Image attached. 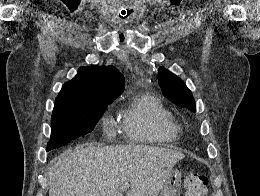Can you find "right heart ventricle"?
Returning <instances> with one entry per match:
<instances>
[{
    "label": "right heart ventricle",
    "instance_id": "1",
    "mask_svg": "<svg viewBox=\"0 0 260 196\" xmlns=\"http://www.w3.org/2000/svg\"><path fill=\"white\" fill-rule=\"evenodd\" d=\"M123 124L139 142L161 145L172 142L179 133L172 114L158 101L144 92H136V98L122 114ZM89 192H121V190H89Z\"/></svg>",
    "mask_w": 260,
    "mask_h": 196
}]
</instances>
